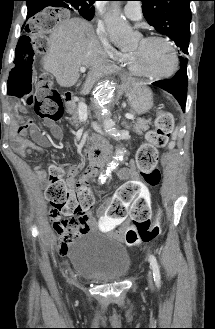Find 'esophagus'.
<instances>
[{
    "instance_id": "34e87169",
    "label": "esophagus",
    "mask_w": 215,
    "mask_h": 329,
    "mask_svg": "<svg viewBox=\"0 0 215 329\" xmlns=\"http://www.w3.org/2000/svg\"><path fill=\"white\" fill-rule=\"evenodd\" d=\"M122 79L125 81H129L130 78L126 74H122Z\"/></svg>"
}]
</instances>
